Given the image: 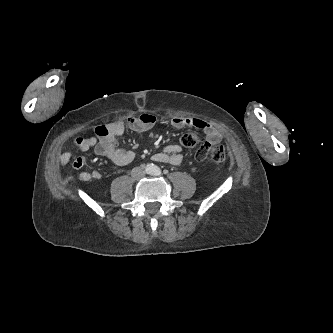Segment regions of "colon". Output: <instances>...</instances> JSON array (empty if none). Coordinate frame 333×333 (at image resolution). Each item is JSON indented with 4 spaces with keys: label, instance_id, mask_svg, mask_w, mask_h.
I'll return each mask as SVG.
<instances>
[{
    "label": "colon",
    "instance_id": "obj_1",
    "mask_svg": "<svg viewBox=\"0 0 333 333\" xmlns=\"http://www.w3.org/2000/svg\"><path fill=\"white\" fill-rule=\"evenodd\" d=\"M95 133L97 136H105L108 133L106 126L101 125L96 127ZM181 144L186 148L198 149L195 153V158L198 161L208 160L214 164H221L225 162L227 158L226 150L222 146H213L210 143H202L200 137L195 133H186L182 135Z\"/></svg>",
    "mask_w": 333,
    "mask_h": 333
}]
</instances>
